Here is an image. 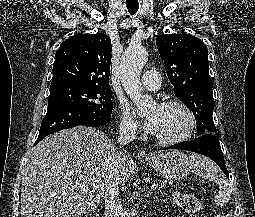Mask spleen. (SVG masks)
<instances>
[{
	"instance_id": "spleen-1",
	"label": "spleen",
	"mask_w": 255,
	"mask_h": 217,
	"mask_svg": "<svg viewBox=\"0 0 255 217\" xmlns=\"http://www.w3.org/2000/svg\"><path fill=\"white\" fill-rule=\"evenodd\" d=\"M189 159L196 174L214 180L219 185L217 203L224 206L230 200L232 188L218 166L213 161L196 154H192Z\"/></svg>"
}]
</instances>
